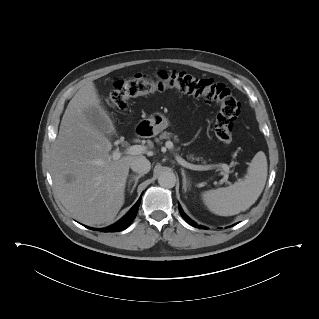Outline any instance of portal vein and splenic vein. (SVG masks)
Segmentation results:
<instances>
[{
    "mask_svg": "<svg viewBox=\"0 0 319 319\" xmlns=\"http://www.w3.org/2000/svg\"><path fill=\"white\" fill-rule=\"evenodd\" d=\"M165 146L169 149V150H173L174 145L171 141H167ZM146 152V147L142 146V145H133V146H129L126 150H125V154L128 155H139V154H143ZM122 153L119 150H115L113 152V159L117 160L121 157ZM175 159L177 160V162L182 165L185 168L191 169V170H198V171H205V170H210L214 167H220L224 170V178L223 181H227L228 179V173H230L229 170V166L227 164H218L216 166H212V165H194L191 163H188L187 161H185L181 156L179 155H175Z\"/></svg>",
    "mask_w": 319,
    "mask_h": 319,
    "instance_id": "obj_1",
    "label": "portal vein and splenic vein"
}]
</instances>
